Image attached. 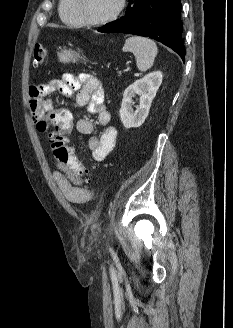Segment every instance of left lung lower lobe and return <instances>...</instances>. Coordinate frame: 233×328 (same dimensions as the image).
<instances>
[{
	"label": "left lung lower lobe",
	"instance_id": "obj_1",
	"mask_svg": "<svg viewBox=\"0 0 233 328\" xmlns=\"http://www.w3.org/2000/svg\"><path fill=\"white\" fill-rule=\"evenodd\" d=\"M125 16L98 28L104 33H127L153 38L185 61L180 0H128Z\"/></svg>",
	"mask_w": 233,
	"mask_h": 328
}]
</instances>
